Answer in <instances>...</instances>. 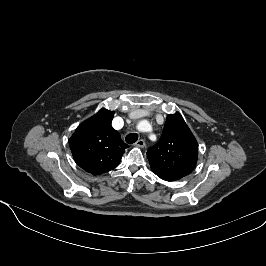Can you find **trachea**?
Here are the masks:
<instances>
[{
	"mask_svg": "<svg viewBox=\"0 0 266 266\" xmlns=\"http://www.w3.org/2000/svg\"><path fill=\"white\" fill-rule=\"evenodd\" d=\"M125 140L129 144H133L138 140V134L137 133H130L126 136Z\"/></svg>",
	"mask_w": 266,
	"mask_h": 266,
	"instance_id": "3493384b",
	"label": "trachea"
}]
</instances>
